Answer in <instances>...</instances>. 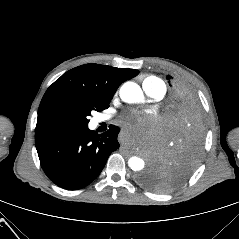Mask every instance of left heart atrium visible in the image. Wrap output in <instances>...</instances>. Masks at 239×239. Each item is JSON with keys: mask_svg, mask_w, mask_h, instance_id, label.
<instances>
[{"mask_svg": "<svg viewBox=\"0 0 239 239\" xmlns=\"http://www.w3.org/2000/svg\"><path fill=\"white\" fill-rule=\"evenodd\" d=\"M136 122L126 121L124 126L127 130H140L149 133L152 129V125L147 121L146 117L142 114H136L134 116Z\"/></svg>", "mask_w": 239, "mask_h": 239, "instance_id": "1", "label": "left heart atrium"}]
</instances>
